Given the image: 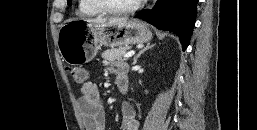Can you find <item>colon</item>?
<instances>
[{
	"label": "colon",
	"instance_id": "colon-1",
	"mask_svg": "<svg viewBox=\"0 0 257 130\" xmlns=\"http://www.w3.org/2000/svg\"><path fill=\"white\" fill-rule=\"evenodd\" d=\"M67 70L76 83L81 84L87 80L88 73L84 68L77 66H69Z\"/></svg>",
	"mask_w": 257,
	"mask_h": 130
}]
</instances>
